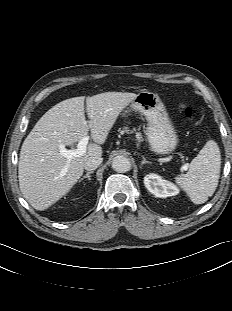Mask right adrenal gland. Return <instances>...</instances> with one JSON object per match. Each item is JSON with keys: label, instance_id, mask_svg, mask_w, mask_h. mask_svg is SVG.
Listing matches in <instances>:
<instances>
[{"label": "right adrenal gland", "instance_id": "obj_1", "mask_svg": "<svg viewBox=\"0 0 232 311\" xmlns=\"http://www.w3.org/2000/svg\"><path fill=\"white\" fill-rule=\"evenodd\" d=\"M93 173H94V171H89V172H87L86 175H84V176L79 180V182H81L82 180H84V179H86V178L90 181V180H91L90 175L93 174Z\"/></svg>", "mask_w": 232, "mask_h": 311}]
</instances>
